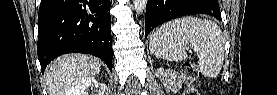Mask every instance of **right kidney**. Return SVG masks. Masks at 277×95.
I'll list each match as a JSON object with an SVG mask.
<instances>
[{
	"mask_svg": "<svg viewBox=\"0 0 277 95\" xmlns=\"http://www.w3.org/2000/svg\"><path fill=\"white\" fill-rule=\"evenodd\" d=\"M99 84L94 77L83 78L82 80L76 82L74 87L69 91L68 95H86V89L89 87H98ZM106 87L105 85L101 86V89L98 91L99 95H103Z\"/></svg>",
	"mask_w": 277,
	"mask_h": 95,
	"instance_id": "right-kidney-1",
	"label": "right kidney"
}]
</instances>
